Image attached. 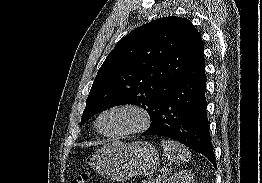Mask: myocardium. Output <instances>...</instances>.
Here are the masks:
<instances>
[{"label":"myocardium","mask_w":262,"mask_h":183,"mask_svg":"<svg viewBox=\"0 0 262 183\" xmlns=\"http://www.w3.org/2000/svg\"><path fill=\"white\" fill-rule=\"evenodd\" d=\"M115 110H130L135 112L138 117H139V122L137 125H135L134 127L122 131V132H118V133H105L101 130L100 128V122L102 117L111 111H115ZM151 124V115L149 113V111L143 107L140 104L137 103H132V102H123V103H117V104H113L111 106H108L107 108L103 109L97 119H96V129L97 131L108 138H122V137H126L132 134H136V133H140L145 131Z\"/></svg>","instance_id":"f54148a6"}]
</instances>
